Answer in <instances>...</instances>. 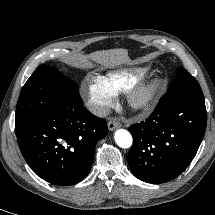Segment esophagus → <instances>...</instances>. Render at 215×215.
I'll return each mask as SVG.
<instances>
[{
    "label": "esophagus",
    "instance_id": "34e87169",
    "mask_svg": "<svg viewBox=\"0 0 215 215\" xmlns=\"http://www.w3.org/2000/svg\"><path fill=\"white\" fill-rule=\"evenodd\" d=\"M120 127H121L120 122H118L116 120H109V122H108V129L110 131H113V130H115L117 128H120Z\"/></svg>",
    "mask_w": 215,
    "mask_h": 215
}]
</instances>
